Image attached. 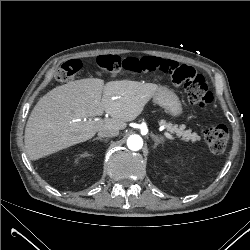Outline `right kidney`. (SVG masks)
<instances>
[{"label": "right kidney", "instance_id": "ca27d5eb", "mask_svg": "<svg viewBox=\"0 0 250 250\" xmlns=\"http://www.w3.org/2000/svg\"><path fill=\"white\" fill-rule=\"evenodd\" d=\"M87 155L85 154V155H82V157H86Z\"/></svg>", "mask_w": 250, "mask_h": 250}]
</instances>
